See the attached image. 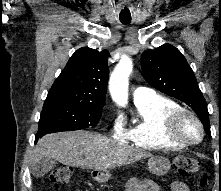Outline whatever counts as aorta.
<instances>
[{
  "instance_id": "762f6f07",
  "label": "aorta",
  "mask_w": 221,
  "mask_h": 191,
  "mask_svg": "<svg viewBox=\"0 0 221 191\" xmlns=\"http://www.w3.org/2000/svg\"><path fill=\"white\" fill-rule=\"evenodd\" d=\"M133 69L132 59L124 56L121 58L109 79V92L112 99L121 107L128 103L129 76Z\"/></svg>"
}]
</instances>
